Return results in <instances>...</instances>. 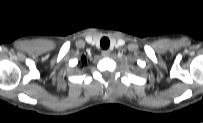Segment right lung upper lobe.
Here are the masks:
<instances>
[{
  "instance_id": "1",
  "label": "right lung upper lobe",
  "mask_w": 203,
  "mask_h": 123,
  "mask_svg": "<svg viewBox=\"0 0 203 123\" xmlns=\"http://www.w3.org/2000/svg\"><path fill=\"white\" fill-rule=\"evenodd\" d=\"M83 65H86V60H85V57L84 56H82V66Z\"/></svg>"
}]
</instances>
